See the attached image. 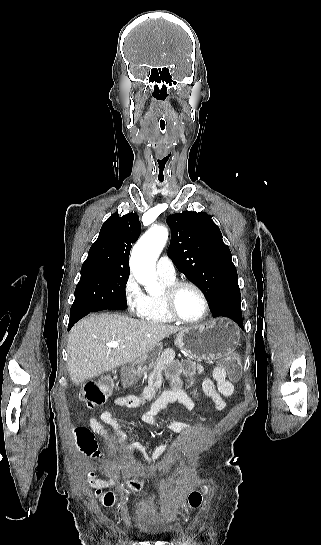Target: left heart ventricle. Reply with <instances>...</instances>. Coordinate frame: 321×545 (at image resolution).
<instances>
[{
    "instance_id": "obj_1",
    "label": "left heart ventricle",
    "mask_w": 321,
    "mask_h": 545,
    "mask_svg": "<svg viewBox=\"0 0 321 545\" xmlns=\"http://www.w3.org/2000/svg\"><path fill=\"white\" fill-rule=\"evenodd\" d=\"M174 304L178 315L182 319L193 321L203 314L202 299L194 289L185 288L181 290L177 294Z\"/></svg>"
}]
</instances>
